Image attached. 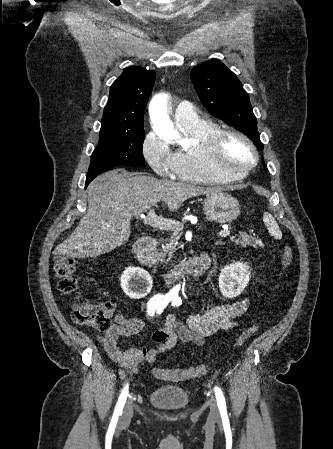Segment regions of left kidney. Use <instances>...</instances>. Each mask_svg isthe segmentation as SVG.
Masks as SVG:
<instances>
[{"instance_id": "obj_1", "label": "left kidney", "mask_w": 333, "mask_h": 449, "mask_svg": "<svg viewBox=\"0 0 333 449\" xmlns=\"http://www.w3.org/2000/svg\"><path fill=\"white\" fill-rule=\"evenodd\" d=\"M250 266L245 262H232L221 270L218 284L223 296L232 298L240 295L247 286Z\"/></svg>"}]
</instances>
